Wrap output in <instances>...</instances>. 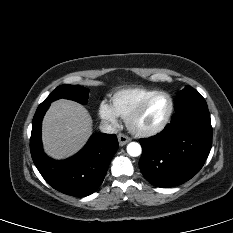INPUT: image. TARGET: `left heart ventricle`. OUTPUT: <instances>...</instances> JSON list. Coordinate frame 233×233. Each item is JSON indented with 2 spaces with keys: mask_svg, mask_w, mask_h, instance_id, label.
I'll return each instance as SVG.
<instances>
[{
  "mask_svg": "<svg viewBox=\"0 0 233 233\" xmlns=\"http://www.w3.org/2000/svg\"><path fill=\"white\" fill-rule=\"evenodd\" d=\"M169 110V99L159 95L152 99L144 111L136 119L135 125L140 129H151L158 126Z\"/></svg>",
  "mask_w": 233,
  "mask_h": 233,
  "instance_id": "1",
  "label": "left heart ventricle"
}]
</instances>
